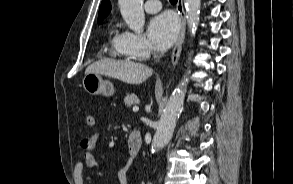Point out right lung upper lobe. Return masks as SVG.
<instances>
[{
  "mask_svg": "<svg viewBox=\"0 0 293 184\" xmlns=\"http://www.w3.org/2000/svg\"><path fill=\"white\" fill-rule=\"evenodd\" d=\"M111 4L109 0H103L100 6L98 23H100L110 12Z\"/></svg>",
  "mask_w": 293,
  "mask_h": 184,
  "instance_id": "1",
  "label": "right lung upper lobe"
}]
</instances>
